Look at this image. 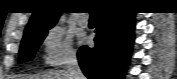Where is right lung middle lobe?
Listing matches in <instances>:
<instances>
[{
	"mask_svg": "<svg viewBox=\"0 0 177 79\" xmlns=\"http://www.w3.org/2000/svg\"><path fill=\"white\" fill-rule=\"evenodd\" d=\"M48 30L49 29L40 30L30 37L22 40L19 51V63L33 59L36 50L46 37Z\"/></svg>",
	"mask_w": 177,
	"mask_h": 79,
	"instance_id": "obj_1",
	"label": "right lung middle lobe"
}]
</instances>
